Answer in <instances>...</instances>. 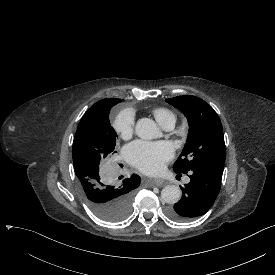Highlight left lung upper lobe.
<instances>
[{"instance_id":"obj_1","label":"left lung upper lobe","mask_w":275,"mask_h":275,"mask_svg":"<svg viewBox=\"0 0 275 275\" xmlns=\"http://www.w3.org/2000/svg\"><path fill=\"white\" fill-rule=\"evenodd\" d=\"M166 101L182 111L189 123L186 144L173 170L184 174L197 169L223 172L226 149L222 124L216 112L195 96H177Z\"/></svg>"}]
</instances>
